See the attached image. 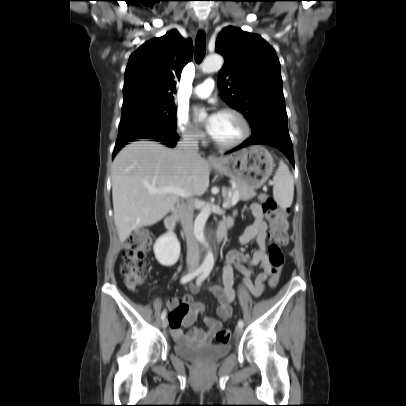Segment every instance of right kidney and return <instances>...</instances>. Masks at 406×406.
<instances>
[{
  "label": "right kidney",
  "mask_w": 406,
  "mask_h": 406,
  "mask_svg": "<svg viewBox=\"0 0 406 406\" xmlns=\"http://www.w3.org/2000/svg\"><path fill=\"white\" fill-rule=\"evenodd\" d=\"M180 243L174 233L162 235L154 244V254L163 266H173L180 256Z\"/></svg>",
  "instance_id": "obj_1"
}]
</instances>
